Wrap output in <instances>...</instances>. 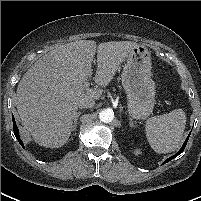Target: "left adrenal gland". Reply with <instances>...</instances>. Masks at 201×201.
<instances>
[{
  "label": "left adrenal gland",
  "mask_w": 201,
  "mask_h": 201,
  "mask_svg": "<svg viewBox=\"0 0 201 201\" xmlns=\"http://www.w3.org/2000/svg\"><path fill=\"white\" fill-rule=\"evenodd\" d=\"M129 120H130V122H129L130 127H132V128H133V127L136 128L137 125H136V123H133L132 118H130Z\"/></svg>",
  "instance_id": "1"
}]
</instances>
